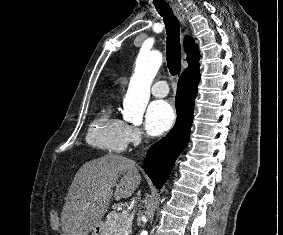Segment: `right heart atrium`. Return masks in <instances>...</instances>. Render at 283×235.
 <instances>
[{"label":"right heart atrium","mask_w":283,"mask_h":235,"mask_svg":"<svg viewBox=\"0 0 283 235\" xmlns=\"http://www.w3.org/2000/svg\"><path fill=\"white\" fill-rule=\"evenodd\" d=\"M126 135L128 143L133 145L140 143L143 138V132L141 128L134 125L126 126Z\"/></svg>","instance_id":"right-heart-atrium-1"}]
</instances>
